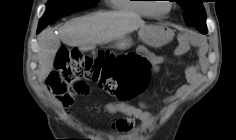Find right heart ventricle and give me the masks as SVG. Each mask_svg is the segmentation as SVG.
<instances>
[{
	"label": "right heart ventricle",
	"mask_w": 236,
	"mask_h": 140,
	"mask_svg": "<svg viewBox=\"0 0 236 140\" xmlns=\"http://www.w3.org/2000/svg\"><path fill=\"white\" fill-rule=\"evenodd\" d=\"M149 0H113L115 9L123 12H131L143 17H153L151 5L145 3Z\"/></svg>",
	"instance_id": "1"
}]
</instances>
